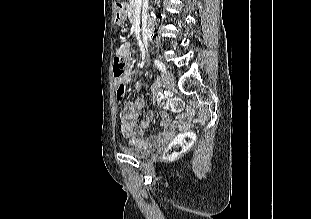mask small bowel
Here are the masks:
<instances>
[{
  "label": "small bowel",
  "instance_id": "c3829d8e",
  "mask_svg": "<svg viewBox=\"0 0 311 219\" xmlns=\"http://www.w3.org/2000/svg\"><path fill=\"white\" fill-rule=\"evenodd\" d=\"M117 54L124 58H128L130 55V47L127 43L120 45L117 49ZM125 83L130 84L132 81L131 71H127L124 76ZM141 80H138L135 84V89H139ZM144 108V100L142 98H136L127 102L123 108V116L120 126V132L123 138L127 139L132 144L143 142L144 132L150 129L154 120V113L147 111L144 115V120L138 127V121L140 114ZM161 126L164 128V132L161 136H153L150 141H155L159 137L173 136L177 131L182 130L184 125L172 120V118L161 113Z\"/></svg>",
  "mask_w": 311,
  "mask_h": 219
}]
</instances>
